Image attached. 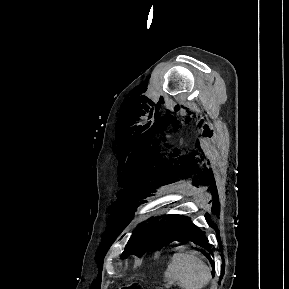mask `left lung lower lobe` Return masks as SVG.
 I'll return each instance as SVG.
<instances>
[{"instance_id": "0a47b994", "label": "left lung lower lobe", "mask_w": 289, "mask_h": 289, "mask_svg": "<svg viewBox=\"0 0 289 289\" xmlns=\"http://www.w3.org/2000/svg\"><path fill=\"white\" fill-rule=\"evenodd\" d=\"M165 219L168 234L167 243L171 241H192L211 252L204 232L198 229L190 218L182 215H168Z\"/></svg>"}]
</instances>
